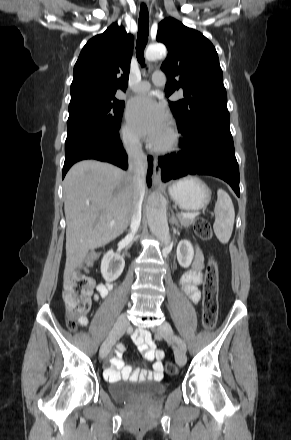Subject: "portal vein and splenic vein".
Listing matches in <instances>:
<instances>
[{"label": "portal vein and splenic vein", "mask_w": 291, "mask_h": 440, "mask_svg": "<svg viewBox=\"0 0 291 440\" xmlns=\"http://www.w3.org/2000/svg\"><path fill=\"white\" fill-rule=\"evenodd\" d=\"M179 215L181 216V217H184V218H188V219H194L195 217H196V214H194V213H179ZM115 224V222L114 221H111L110 222V225L111 226H113Z\"/></svg>", "instance_id": "obj_1"}]
</instances>
